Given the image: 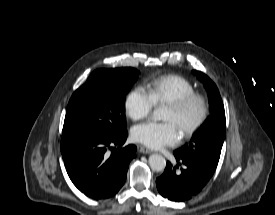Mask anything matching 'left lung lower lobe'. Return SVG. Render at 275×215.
I'll use <instances>...</instances> for the list:
<instances>
[{
	"label": "left lung lower lobe",
	"mask_w": 275,
	"mask_h": 215,
	"mask_svg": "<svg viewBox=\"0 0 275 215\" xmlns=\"http://www.w3.org/2000/svg\"><path fill=\"white\" fill-rule=\"evenodd\" d=\"M176 166L167 162L164 173L156 179L159 193L171 201L183 202L196 196L213 176L216 167L201 161L179 157Z\"/></svg>",
	"instance_id": "1"
}]
</instances>
